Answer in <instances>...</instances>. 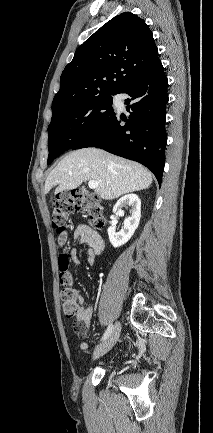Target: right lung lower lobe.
<instances>
[{
    "label": "right lung lower lobe",
    "instance_id": "right-lung-lower-lobe-1",
    "mask_svg": "<svg viewBox=\"0 0 213 433\" xmlns=\"http://www.w3.org/2000/svg\"><path fill=\"white\" fill-rule=\"evenodd\" d=\"M167 86L168 80L157 58L121 92L130 96L125 100L129 118L115 113L98 132L71 149L97 147L135 160L149 168L161 184L167 145ZM123 121L125 125H121Z\"/></svg>",
    "mask_w": 213,
    "mask_h": 433
}]
</instances>
